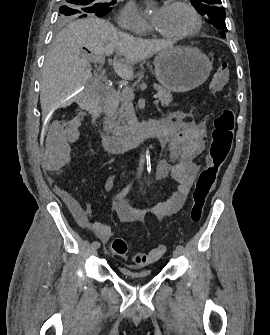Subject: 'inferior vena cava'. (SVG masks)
<instances>
[{
	"label": "inferior vena cava",
	"instance_id": "1",
	"mask_svg": "<svg viewBox=\"0 0 270 335\" xmlns=\"http://www.w3.org/2000/svg\"><path fill=\"white\" fill-rule=\"evenodd\" d=\"M119 26H121L120 22H118Z\"/></svg>",
	"mask_w": 270,
	"mask_h": 335
}]
</instances>
